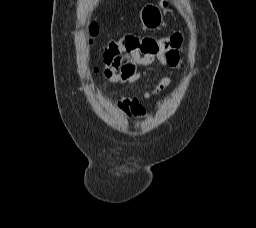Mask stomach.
Here are the masks:
<instances>
[{
	"label": "stomach",
	"instance_id": "0dacf381",
	"mask_svg": "<svg viewBox=\"0 0 256 228\" xmlns=\"http://www.w3.org/2000/svg\"><path fill=\"white\" fill-rule=\"evenodd\" d=\"M169 0H161L160 7L168 6ZM140 19L145 29H158L163 24L161 9L157 6L147 5L140 11Z\"/></svg>",
	"mask_w": 256,
	"mask_h": 228
}]
</instances>
